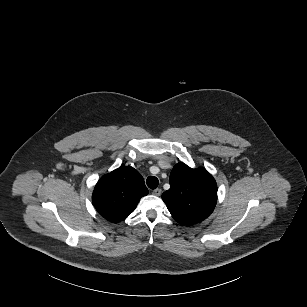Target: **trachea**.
I'll return each mask as SVG.
<instances>
[{"instance_id":"1","label":"trachea","mask_w":307,"mask_h":307,"mask_svg":"<svg viewBox=\"0 0 307 307\" xmlns=\"http://www.w3.org/2000/svg\"><path fill=\"white\" fill-rule=\"evenodd\" d=\"M146 183H147V185H148V187H149L150 189H155V188H157V186H158V184H159V181H158V179H157L156 177H154V176H149V177L147 178V180H146Z\"/></svg>"}]
</instances>
